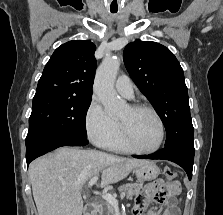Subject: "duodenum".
Here are the masks:
<instances>
[{"instance_id":"410a0bca","label":"duodenum","mask_w":223,"mask_h":215,"mask_svg":"<svg viewBox=\"0 0 223 215\" xmlns=\"http://www.w3.org/2000/svg\"><path fill=\"white\" fill-rule=\"evenodd\" d=\"M84 215H97V206L94 200H87L84 206Z\"/></svg>"}]
</instances>
